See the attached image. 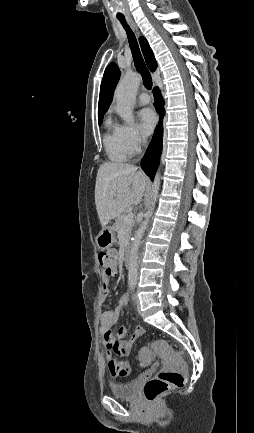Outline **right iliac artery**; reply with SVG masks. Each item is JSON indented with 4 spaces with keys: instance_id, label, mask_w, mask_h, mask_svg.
<instances>
[{
    "instance_id": "82829eb1",
    "label": "right iliac artery",
    "mask_w": 254,
    "mask_h": 433,
    "mask_svg": "<svg viewBox=\"0 0 254 433\" xmlns=\"http://www.w3.org/2000/svg\"><path fill=\"white\" fill-rule=\"evenodd\" d=\"M129 286H130V290L133 291L134 288H135V283H134V282H131V283L129 284Z\"/></svg>"
}]
</instances>
